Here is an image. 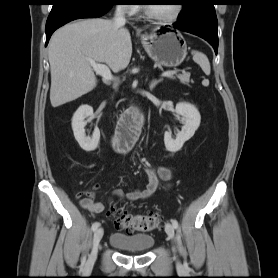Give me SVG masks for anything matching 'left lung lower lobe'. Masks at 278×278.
Masks as SVG:
<instances>
[{"mask_svg": "<svg viewBox=\"0 0 278 278\" xmlns=\"http://www.w3.org/2000/svg\"><path fill=\"white\" fill-rule=\"evenodd\" d=\"M179 21L174 23V28L197 35L214 48L217 54L218 50V22L216 14L207 9H198L186 17L178 16Z\"/></svg>", "mask_w": 278, "mask_h": 278, "instance_id": "1", "label": "left lung lower lobe"}]
</instances>
